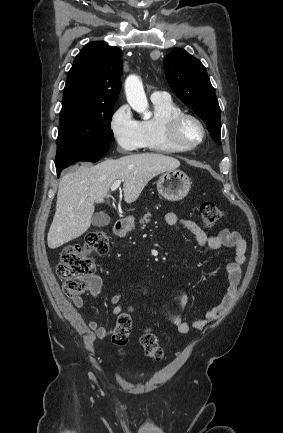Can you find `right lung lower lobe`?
Segmentation results:
<instances>
[{"label": "right lung lower lobe", "instance_id": "98d812e1", "mask_svg": "<svg viewBox=\"0 0 283 433\" xmlns=\"http://www.w3.org/2000/svg\"><path fill=\"white\" fill-rule=\"evenodd\" d=\"M108 149L109 147L99 150L77 146L58 147L55 159L58 177L64 168L75 163L76 161H98L108 151Z\"/></svg>", "mask_w": 283, "mask_h": 433}]
</instances>
